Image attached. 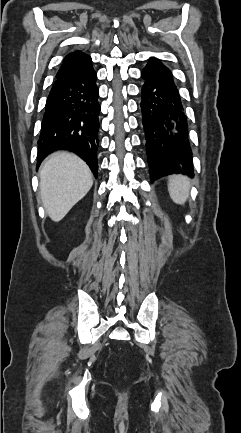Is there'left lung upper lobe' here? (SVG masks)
<instances>
[{
  "label": "left lung upper lobe",
  "instance_id": "1",
  "mask_svg": "<svg viewBox=\"0 0 241 433\" xmlns=\"http://www.w3.org/2000/svg\"><path fill=\"white\" fill-rule=\"evenodd\" d=\"M151 61L148 63V65L149 64H161L157 59H155V58H151L150 59Z\"/></svg>",
  "mask_w": 241,
  "mask_h": 433
}]
</instances>
